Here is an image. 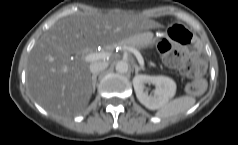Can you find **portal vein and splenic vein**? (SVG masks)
Segmentation results:
<instances>
[{"label":"portal vein and splenic vein","mask_w":238,"mask_h":145,"mask_svg":"<svg viewBox=\"0 0 238 145\" xmlns=\"http://www.w3.org/2000/svg\"><path fill=\"white\" fill-rule=\"evenodd\" d=\"M127 50L132 52L136 56L139 64L143 67L144 66V59H143L141 53L133 47H127ZM109 55H110V53H104V52L90 53V54H87L84 57V61L85 62H93V61H96V60H99V59L106 58Z\"/></svg>","instance_id":"1"}]
</instances>
